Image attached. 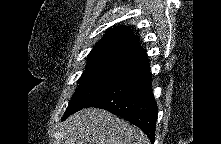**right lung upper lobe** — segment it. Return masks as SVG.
<instances>
[{
	"mask_svg": "<svg viewBox=\"0 0 221 144\" xmlns=\"http://www.w3.org/2000/svg\"><path fill=\"white\" fill-rule=\"evenodd\" d=\"M139 40L140 38L127 26H116L106 32L89 53V56L120 52L146 57V51L141 47Z\"/></svg>",
	"mask_w": 221,
	"mask_h": 144,
	"instance_id": "cb5924a9",
	"label": "right lung upper lobe"
}]
</instances>
